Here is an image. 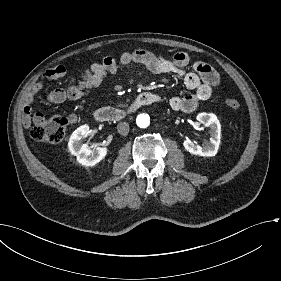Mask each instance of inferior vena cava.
I'll return each mask as SVG.
<instances>
[{"instance_id":"602c4592","label":"inferior vena cava","mask_w":281,"mask_h":281,"mask_svg":"<svg viewBox=\"0 0 281 281\" xmlns=\"http://www.w3.org/2000/svg\"><path fill=\"white\" fill-rule=\"evenodd\" d=\"M117 131L120 135L126 136L129 133V124L126 122H120L117 125Z\"/></svg>"}]
</instances>
